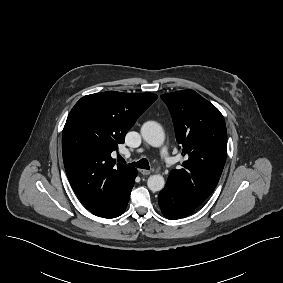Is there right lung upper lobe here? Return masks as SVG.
I'll list each match as a JSON object with an SVG mask.
<instances>
[{
	"mask_svg": "<svg viewBox=\"0 0 283 283\" xmlns=\"http://www.w3.org/2000/svg\"><path fill=\"white\" fill-rule=\"evenodd\" d=\"M157 97L107 91L82 97L69 113L62 133L64 167L78 198L94 215L113 208L134 182L137 170L116 164L111 153Z\"/></svg>",
	"mask_w": 283,
	"mask_h": 283,
	"instance_id": "right-lung-upper-lobe-1",
	"label": "right lung upper lobe"
}]
</instances>
